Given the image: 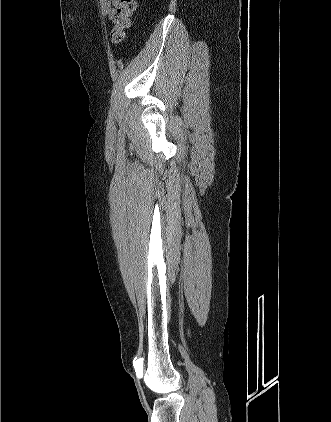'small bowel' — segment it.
<instances>
[{
  "label": "small bowel",
  "mask_w": 331,
  "mask_h": 422,
  "mask_svg": "<svg viewBox=\"0 0 331 422\" xmlns=\"http://www.w3.org/2000/svg\"><path fill=\"white\" fill-rule=\"evenodd\" d=\"M102 14L112 20L121 6V0H99Z\"/></svg>",
  "instance_id": "obj_1"
}]
</instances>
